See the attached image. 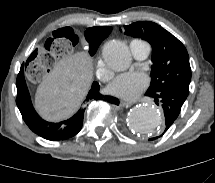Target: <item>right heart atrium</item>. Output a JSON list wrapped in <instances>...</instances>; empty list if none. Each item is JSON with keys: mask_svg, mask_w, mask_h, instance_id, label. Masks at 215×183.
<instances>
[{"mask_svg": "<svg viewBox=\"0 0 215 183\" xmlns=\"http://www.w3.org/2000/svg\"><path fill=\"white\" fill-rule=\"evenodd\" d=\"M96 73L102 81H109L112 77V72L105 67L102 60H99L97 63Z\"/></svg>", "mask_w": 215, "mask_h": 183, "instance_id": "right-heart-atrium-1", "label": "right heart atrium"}]
</instances>
